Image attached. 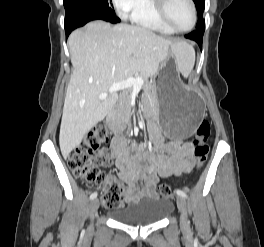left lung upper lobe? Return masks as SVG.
I'll list each match as a JSON object with an SVG mask.
<instances>
[{"label": "left lung upper lobe", "mask_w": 264, "mask_h": 247, "mask_svg": "<svg viewBox=\"0 0 264 247\" xmlns=\"http://www.w3.org/2000/svg\"><path fill=\"white\" fill-rule=\"evenodd\" d=\"M196 4L199 23H197V29L205 28V21L203 19V11L205 8V0H193Z\"/></svg>", "instance_id": "obj_1"}]
</instances>
